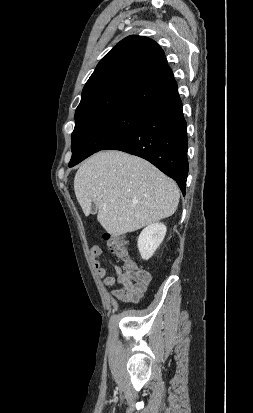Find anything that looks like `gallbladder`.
<instances>
[{
	"instance_id": "1",
	"label": "gallbladder",
	"mask_w": 253,
	"mask_h": 413,
	"mask_svg": "<svg viewBox=\"0 0 253 413\" xmlns=\"http://www.w3.org/2000/svg\"><path fill=\"white\" fill-rule=\"evenodd\" d=\"M96 211H97V207H96V205L93 203V204H92V210H91V213H92V214H95V213H96Z\"/></svg>"
}]
</instances>
